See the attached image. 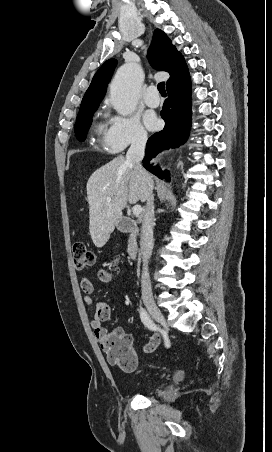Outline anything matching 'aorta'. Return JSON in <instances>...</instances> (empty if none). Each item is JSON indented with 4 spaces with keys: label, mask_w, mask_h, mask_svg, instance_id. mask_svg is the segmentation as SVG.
<instances>
[{
    "label": "aorta",
    "mask_w": 272,
    "mask_h": 452,
    "mask_svg": "<svg viewBox=\"0 0 272 452\" xmlns=\"http://www.w3.org/2000/svg\"><path fill=\"white\" fill-rule=\"evenodd\" d=\"M143 73L135 63L120 67L110 85V102L119 115L129 116L137 107Z\"/></svg>",
    "instance_id": "obj_1"
}]
</instances>
